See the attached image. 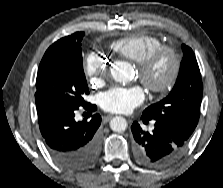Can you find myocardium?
I'll list each match as a JSON object with an SVG mask.
<instances>
[{
	"label": "myocardium",
	"mask_w": 223,
	"mask_h": 188,
	"mask_svg": "<svg viewBox=\"0 0 223 188\" xmlns=\"http://www.w3.org/2000/svg\"><path fill=\"white\" fill-rule=\"evenodd\" d=\"M169 56L171 70L166 79L155 81L152 79V72L158 61ZM137 70L140 81L153 93H166L176 84L181 72V57L177 50L168 45H162L150 52L141 61L137 62Z\"/></svg>",
	"instance_id": "1"
}]
</instances>
